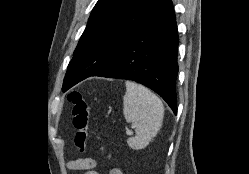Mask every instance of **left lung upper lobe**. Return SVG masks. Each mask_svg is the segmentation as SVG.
Returning <instances> with one entry per match:
<instances>
[{
	"mask_svg": "<svg viewBox=\"0 0 249 174\" xmlns=\"http://www.w3.org/2000/svg\"><path fill=\"white\" fill-rule=\"evenodd\" d=\"M167 0H98L74 51L63 92L106 66Z\"/></svg>",
	"mask_w": 249,
	"mask_h": 174,
	"instance_id": "5c2ea615",
	"label": "left lung upper lobe"
}]
</instances>
